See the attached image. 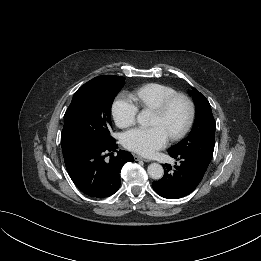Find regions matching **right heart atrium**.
Returning <instances> with one entry per match:
<instances>
[{"label": "right heart atrium", "instance_id": "1", "mask_svg": "<svg viewBox=\"0 0 261 261\" xmlns=\"http://www.w3.org/2000/svg\"><path fill=\"white\" fill-rule=\"evenodd\" d=\"M138 106L126 95H119L112 105V117L116 125L126 128L135 123Z\"/></svg>", "mask_w": 261, "mask_h": 261}]
</instances>
